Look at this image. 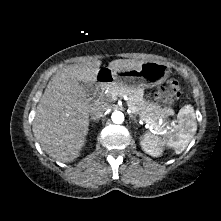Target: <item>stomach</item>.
Segmentation results:
<instances>
[{
  "label": "stomach",
  "mask_w": 221,
  "mask_h": 221,
  "mask_svg": "<svg viewBox=\"0 0 221 221\" xmlns=\"http://www.w3.org/2000/svg\"><path fill=\"white\" fill-rule=\"evenodd\" d=\"M170 72V66L166 63L145 61L140 67L117 73L115 76L119 85L129 89L153 88L166 82Z\"/></svg>",
  "instance_id": "1"
}]
</instances>
